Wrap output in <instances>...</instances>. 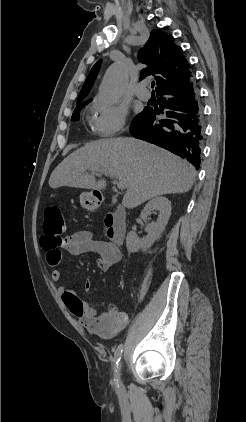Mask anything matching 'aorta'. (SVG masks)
Listing matches in <instances>:
<instances>
[{
	"mask_svg": "<svg viewBox=\"0 0 246 422\" xmlns=\"http://www.w3.org/2000/svg\"><path fill=\"white\" fill-rule=\"evenodd\" d=\"M128 80V72L124 65L114 64L106 72L100 86L99 94L107 103H117L121 98Z\"/></svg>",
	"mask_w": 246,
	"mask_h": 422,
	"instance_id": "aorta-1",
	"label": "aorta"
}]
</instances>
